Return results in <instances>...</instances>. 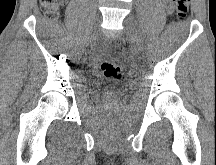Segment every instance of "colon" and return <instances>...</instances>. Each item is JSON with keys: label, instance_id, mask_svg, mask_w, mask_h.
<instances>
[{"label": "colon", "instance_id": "colon-1", "mask_svg": "<svg viewBox=\"0 0 216 165\" xmlns=\"http://www.w3.org/2000/svg\"><path fill=\"white\" fill-rule=\"evenodd\" d=\"M64 0H40L43 13L51 19L58 15V11ZM174 9L178 20L182 21L188 15L190 0H173ZM103 75L110 80H120L123 75L121 66L111 56L105 57L101 63Z\"/></svg>", "mask_w": 216, "mask_h": 165}]
</instances>
